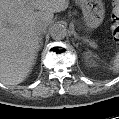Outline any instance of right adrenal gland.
I'll return each mask as SVG.
<instances>
[{
  "label": "right adrenal gland",
  "mask_w": 119,
  "mask_h": 119,
  "mask_svg": "<svg viewBox=\"0 0 119 119\" xmlns=\"http://www.w3.org/2000/svg\"><path fill=\"white\" fill-rule=\"evenodd\" d=\"M42 45H43V37L41 36V37L39 38V48H41Z\"/></svg>",
  "instance_id": "right-adrenal-gland-1"
}]
</instances>
